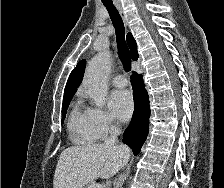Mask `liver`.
I'll list each match as a JSON object with an SVG mask.
<instances>
[{"label":"liver","instance_id":"6515ba94","mask_svg":"<svg viewBox=\"0 0 224 188\" xmlns=\"http://www.w3.org/2000/svg\"><path fill=\"white\" fill-rule=\"evenodd\" d=\"M126 146L105 144L69 147L60 154L53 188H83L97 178L108 179L117 174L129 161Z\"/></svg>","mask_w":224,"mask_h":188}]
</instances>
